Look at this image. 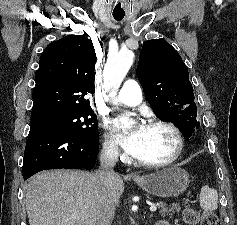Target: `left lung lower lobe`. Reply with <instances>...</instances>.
Returning a JSON list of instances; mask_svg holds the SVG:
<instances>
[{"instance_id":"obj_1","label":"left lung lower lobe","mask_w":237,"mask_h":225,"mask_svg":"<svg viewBox=\"0 0 237 225\" xmlns=\"http://www.w3.org/2000/svg\"><path fill=\"white\" fill-rule=\"evenodd\" d=\"M199 125H200L199 122H197V124H195L193 130L184 134V138L186 141L189 140L191 138V136L196 133L197 129L199 128Z\"/></svg>"}]
</instances>
